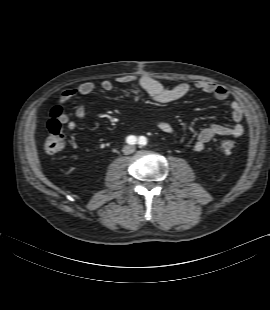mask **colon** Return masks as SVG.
Masks as SVG:
<instances>
[{"instance_id":"5ec220e1","label":"colon","mask_w":270,"mask_h":310,"mask_svg":"<svg viewBox=\"0 0 270 310\" xmlns=\"http://www.w3.org/2000/svg\"><path fill=\"white\" fill-rule=\"evenodd\" d=\"M61 109L55 106L51 111V118L47 123V137L45 140V151L49 155L59 153L65 144V135L62 123L59 120ZM235 148V141L230 138H222L219 141V149L224 153H229Z\"/></svg>"}]
</instances>
